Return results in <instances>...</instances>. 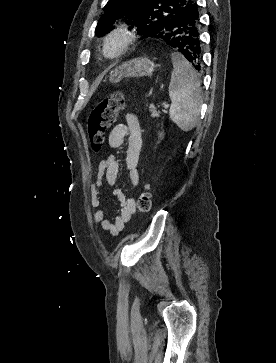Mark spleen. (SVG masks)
<instances>
[{"label": "spleen", "mask_w": 276, "mask_h": 363, "mask_svg": "<svg viewBox=\"0 0 276 363\" xmlns=\"http://www.w3.org/2000/svg\"><path fill=\"white\" fill-rule=\"evenodd\" d=\"M173 72L169 84L172 101L170 119L184 132L192 130L199 121L202 95L200 80L190 63L179 53L171 55Z\"/></svg>", "instance_id": "3e777b00"}]
</instances>
